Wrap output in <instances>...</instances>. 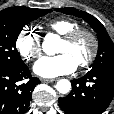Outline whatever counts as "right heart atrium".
Returning a JSON list of instances; mask_svg holds the SVG:
<instances>
[{"label": "right heart atrium", "mask_w": 114, "mask_h": 114, "mask_svg": "<svg viewBox=\"0 0 114 114\" xmlns=\"http://www.w3.org/2000/svg\"><path fill=\"white\" fill-rule=\"evenodd\" d=\"M15 47L25 61H32L41 54V37L33 27L25 26L16 37Z\"/></svg>", "instance_id": "d8ad5b80"}]
</instances>
